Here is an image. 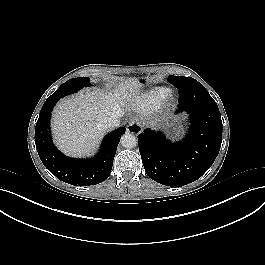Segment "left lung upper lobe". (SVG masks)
Wrapping results in <instances>:
<instances>
[{"label":"left lung upper lobe","instance_id":"obj_1","mask_svg":"<svg viewBox=\"0 0 265 265\" xmlns=\"http://www.w3.org/2000/svg\"><path fill=\"white\" fill-rule=\"evenodd\" d=\"M168 81L175 86V85H178V84L183 83V82L197 81V80H195V79H193L191 77L173 76V75H171V76L168 77ZM205 99L208 102H214L213 98L209 95L208 92L206 94V98Z\"/></svg>","mask_w":265,"mask_h":265}]
</instances>
